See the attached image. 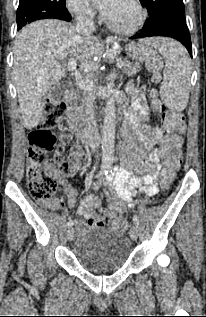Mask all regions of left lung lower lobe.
Segmentation results:
<instances>
[{
  "mask_svg": "<svg viewBox=\"0 0 206 317\" xmlns=\"http://www.w3.org/2000/svg\"><path fill=\"white\" fill-rule=\"evenodd\" d=\"M149 36H166L174 38L186 47L192 57L190 34L186 22L184 21L175 19L160 20L143 27L140 33L130 37V39Z\"/></svg>",
  "mask_w": 206,
  "mask_h": 317,
  "instance_id": "obj_1",
  "label": "left lung lower lobe"
}]
</instances>
